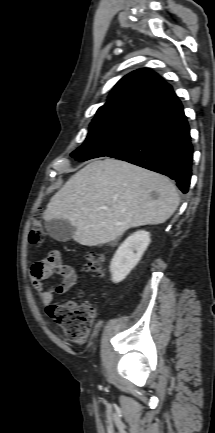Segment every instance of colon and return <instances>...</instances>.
I'll list each match as a JSON object with an SVG mask.
<instances>
[{
    "label": "colon",
    "mask_w": 215,
    "mask_h": 433,
    "mask_svg": "<svg viewBox=\"0 0 215 433\" xmlns=\"http://www.w3.org/2000/svg\"><path fill=\"white\" fill-rule=\"evenodd\" d=\"M43 235L42 213L40 210H36L30 229V241L33 244L40 243L43 239ZM103 261L104 254L95 252L88 253L86 254L84 270L102 273ZM47 312L67 339L79 344L86 342L95 316V310L91 305L76 306L71 302L54 303L48 306Z\"/></svg>",
    "instance_id": "5ec220e1"
}]
</instances>
